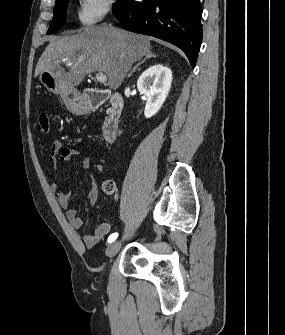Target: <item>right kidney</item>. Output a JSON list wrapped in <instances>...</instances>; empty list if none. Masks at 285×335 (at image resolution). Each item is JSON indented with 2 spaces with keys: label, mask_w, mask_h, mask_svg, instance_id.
<instances>
[{
  "label": "right kidney",
  "mask_w": 285,
  "mask_h": 335,
  "mask_svg": "<svg viewBox=\"0 0 285 335\" xmlns=\"http://www.w3.org/2000/svg\"><path fill=\"white\" fill-rule=\"evenodd\" d=\"M172 72L162 64H155L145 70L137 80L140 94L147 98L144 116L152 118L162 108L171 88Z\"/></svg>",
  "instance_id": "ca27d5eb"
}]
</instances>
